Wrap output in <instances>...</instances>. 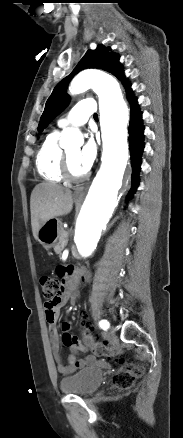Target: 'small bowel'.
Wrapping results in <instances>:
<instances>
[{"label":"small bowel","instance_id":"obj_1","mask_svg":"<svg viewBox=\"0 0 183 438\" xmlns=\"http://www.w3.org/2000/svg\"><path fill=\"white\" fill-rule=\"evenodd\" d=\"M58 274L63 278V283L58 294L51 300L45 302V317L49 325L52 342V354L57 362L58 371L63 375H71L78 369H81L95 362V357L87 355L85 358H77L78 353H88V347L82 344L75 335L70 331V324L64 322L62 324V340L63 343L70 347L73 354L69 357L68 363L64 364L61 359L60 339L57 330V322L60 316L61 308L73 298L74 289L72 280H81L86 282L89 280V273L84 268L75 266L60 267Z\"/></svg>","mask_w":183,"mask_h":438}]
</instances>
